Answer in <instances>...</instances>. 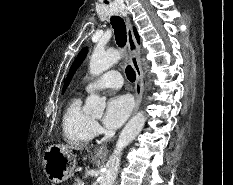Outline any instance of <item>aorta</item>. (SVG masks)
Returning <instances> with one entry per match:
<instances>
[{
  "instance_id": "762f6f07",
  "label": "aorta",
  "mask_w": 233,
  "mask_h": 185,
  "mask_svg": "<svg viewBox=\"0 0 233 185\" xmlns=\"http://www.w3.org/2000/svg\"><path fill=\"white\" fill-rule=\"evenodd\" d=\"M122 52L116 49L107 51L94 50L90 63L89 71L92 75H100L121 59ZM106 103L105 100L95 94L87 97L84 105V112L88 115L100 117L103 115ZM146 117L142 111L138 112L126 124L122 130L115 149L106 163L104 172L101 175L100 185H113L116 180L121 161L123 149L129 145L141 132L145 125Z\"/></svg>"
}]
</instances>
